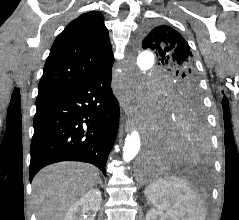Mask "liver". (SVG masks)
<instances>
[{"label":"liver","instance_id":"1","mask_svg":"<svg viewBox=\"0 0 239 220\" xmlns=\"http://www.w3.org/2000/svg\"><path fill=\"white\" fill-rule=\"evenodd\" d=\"M98 179V170L85 163L60 162L42 169L32 183L37 220H64L68 209Z\"/></svg>","mask_w":239,"mask_h":220}]
</instances>
